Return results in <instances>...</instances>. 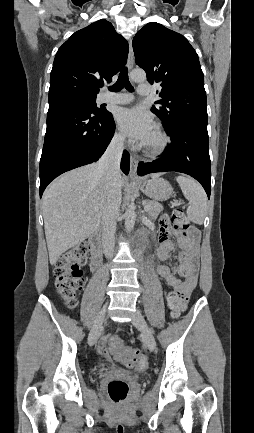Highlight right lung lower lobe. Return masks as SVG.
I'll return each mask as SVG.
<instances>
[{
  "label": "right lung lower lobe",
  "instance_id": "right-lung-lower-lobe-1",
  "mask_svg": "<svg viewBox=\"0 0 254 433\" xmlns=\"http://www.w3.org/2000/svg\"><path fill=\"white\" fill-rule=\"evenodd\" d=\"M115 131L110 112L95 114L87 107L58 101L49 104L47 130L40 159V197L60 174L97 161ZM130 159L124 151L121 169L127 175Z\"/></svg>",
  "mask_w": 254,
  "mask_h": 433
}]
</instances>
